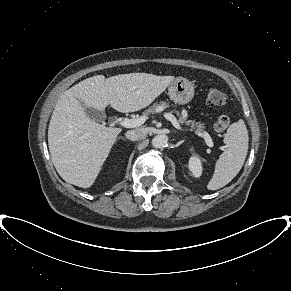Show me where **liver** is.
<instances>
[{
    "instance_id": "liver-1",
    "label": "liver",
    "mask_w": 291,
    "mask_h": 291,
    "mask_svg": "<svg viewBox=\"0 0 291 291\" xmlns=\"http://www.w3.org/2000/svg\"><path fill=\"white\" fill-rule=\"evenodd\" d=\"M173 76L129 73L87 78L59 98L48 128V146L59 175L68 183L89 188L109 155L120 128L90 119L85 107L104 112L110 105L129 113L149 106L174 80Z\"/></svg>"
}]
</instances>
